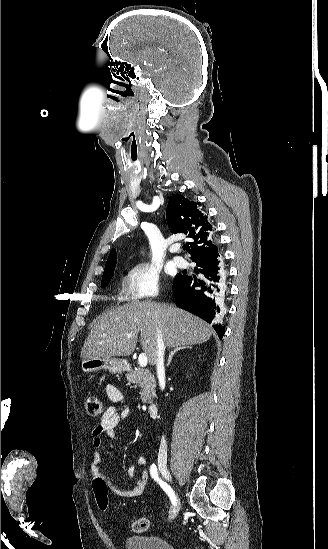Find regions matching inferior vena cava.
<instances>
[{"mask_svg":"<svg viewBox=\"0 0 328 549\" xmlns=\"http://www.w3.org/2000/svg\"><path fill=\"white\" fill-rule=\"evenodd\" d=\"M157 357H156V367H157V375L159 379H165V373H164V351H165V345L163 341L162 335H160L159 331L157 333ZM167 453V445L164 437L161 439L160 447H159V453L158 457L161 459L163 455H166Z\"/></svg>","mask_w":328,"mask_h":549,"instance_id":"1","label":"inferior vena cava"}]
</instances>
